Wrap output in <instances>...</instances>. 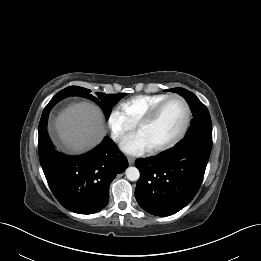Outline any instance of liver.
<instances>
[{"instance_id":"liver-1","label":"liver","mask_w":261,"mask_h":261,"mask_svg":"<svg viewBox=\"0 0 261 261\" xmlns=\"http://www.w3.org/2000/svg\"><path fill=\"white\" fill-rule=\"evenodd\" d=\"M55 127L63 144L74 153L95 147L106 133L101 110L87 102L71 105L62 111Z\"/></svg>"}]
</instances>
